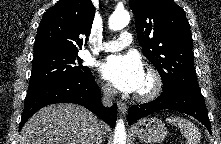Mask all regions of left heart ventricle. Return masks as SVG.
<instances>
[{"label": "left heart ventricle", "mask_w": 221, "mask_h": 144, "mask_svg": "<svg viewBox=\"0 0 221 144\" xmlns=\"http://www.w3.org/2000/svg\"><path fill=\"white\" fill-rule=\"evenodd\" d=\"M149 86H150L149 79L145 75L143 83H142L140 89L138 90V92L146 91L149 88Z\"/></svg>", "instance_id": "1"}]
</instances>
